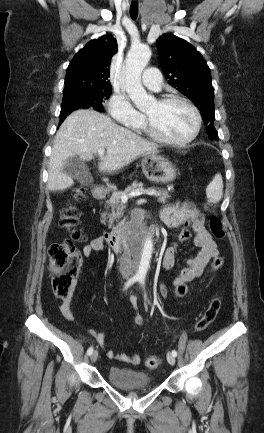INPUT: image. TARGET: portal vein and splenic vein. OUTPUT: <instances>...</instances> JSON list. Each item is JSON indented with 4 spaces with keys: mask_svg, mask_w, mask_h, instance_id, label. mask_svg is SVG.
<instances>
[{
    "mask_svg": "<svg viewBox=\"0 0 264 433\" xmlns=\"http://www.w3.org/2000/svg\"><path fill=\"white\" fill-rule=\"evenodd\" d=\"M104 153H105L104 149H99L98 150V155L100 157H103ZM142 194L157 195V191H155V190H146V191H144V190H136V191L131 192L129 194H123V195H121L120 198H121L122 202H126L128 200V198H130V197H136V196H139V195H142Z\"/></svg>",
    "mask_w": 264,
    "mask_h": 433,
    "instance_id": "portal-vein-and-splenic-vein-1",
    "label": "portal vein and splenic vein"
}]
</instances>
